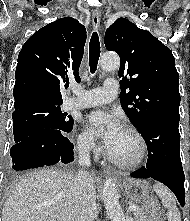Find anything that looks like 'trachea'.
Segmentation results:
<instances>
[{"label":"trachea","instance_id":"obj_1","mask_svg":"<svg viewBox=\"0 0 190 221\" xmlns=\"http://www.w3.org/2000/svg\"><path fill=\"white\" fill-rule=\"evenodd\" d=\"M100 57V42L97 32H94L91 36L89 43V66L90 72L95 73Z\"/></svg>","mask_w":190,"mask_h":221}]
</instances>
